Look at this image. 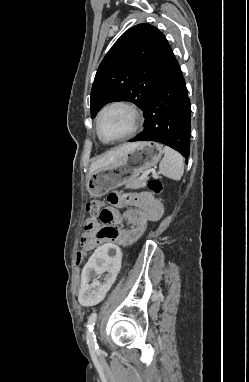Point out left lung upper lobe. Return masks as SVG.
<instances>
[{
	"mask_svg": "<svg viewBox=\"0 0 249 382\" xmlns=\"http://www.w3.org/2000/svg\"><path fill=\"white\" fill-rule=\"evenodd\" d=\"M174 58L156 27L143 23L128 29L97 70L91 90V117L112 101L133 102L145 113Z\"/></svg>",
	"mask_w": 249,
	"mask_h": 382,
	"instance_id": "left-lung-upper-lobe-1",
	"label": "left lung upper lobe"
}]
</instances>
